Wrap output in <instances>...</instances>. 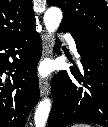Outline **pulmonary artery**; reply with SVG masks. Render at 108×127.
<instances>
[{"instance_id":"pulmonary-artery-1","label":"pulmonary artery","mask_w":108,"mask_h":127,"mask_svg":"<svg viewBox=\"0 0 108 127\" xmlns=\"http://www.w3.org/2000/svg\"><path fill=\"white\" fill-rule=\"evenodd\" d=\"M64 37L68 42L70 50L78 57L79 55L77 53L76 43L73 37L69 34H66Z\"/></svg>"}]
</instances>
